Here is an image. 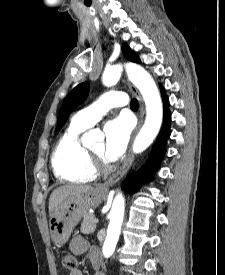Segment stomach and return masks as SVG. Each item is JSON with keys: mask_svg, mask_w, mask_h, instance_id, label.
Instances as JSON below:
<instances>
[{"mask_svg": "<svg viewBox=\"0 0 225 275\" xmlns=\"http://www.w3.org/2000/svg\"><path fill=\"white\" fill-rule=\"evenodd\" d=\"M104 196L103 189L94 188L62 200L50 215L49 229L53 242L65 244L82 217L88 214L89 209L99 206Z\"/></svg>", "mask_w": 225, "mask_h": 275, "instance_id": "obj_1", "label": "stomach"}]
</instances>
